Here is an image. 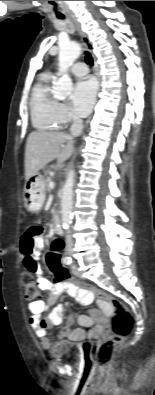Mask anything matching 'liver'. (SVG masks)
<instances>
[{"instance_id": "liver-1", "label": "liver", "mask_w": 155, "mask_h": 395, "mask_svg": "<svg viewBox=\"0 0 155 395\" xmlns=\"http://www.w3.org/2000/svg\"><path fill=\"white\" fill-rule=\"evenodd\" d=\"M74 150L72 137L64 132L33 131L25 148V180L28 181L48 163L66 161Z\"/></svg>"}]
</instances>
